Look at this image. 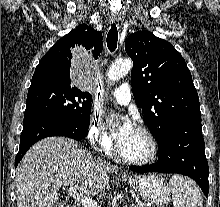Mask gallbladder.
<instances>
[{"instance_id": "bac80fb5", "label": "gallbladder", "mask_w": 220, "mask_h": 207, "mask_svg": "<svg viewBox=\"0 0 220 207\" xmlns=\"http://www.w3.org/2000/svg\"><path fill=\"white\" fill-rule=\"evenodd\" d=\"M65 205V201H60V202H57V204L54 205V207H64Z\"/></svg>"}]
</instances>
